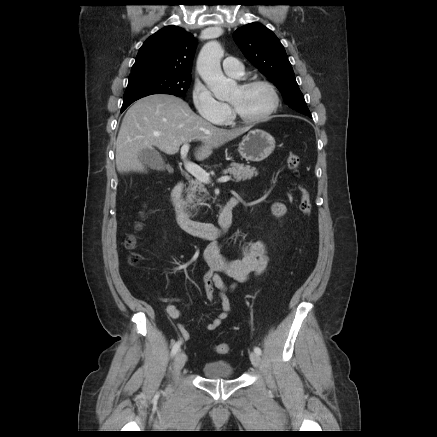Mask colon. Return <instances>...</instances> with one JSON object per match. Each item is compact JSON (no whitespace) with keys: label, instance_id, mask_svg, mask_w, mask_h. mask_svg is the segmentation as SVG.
Instances as JSON below:
<instances>
[{"label":"colon","instance_id":"5ec220e1","mask_svg":"<svg viewBox=\"0 0 437 437\" xmlns=\"http://www.w3.org/2000/svg\"><path fill=\"white\" fill-rule=\"evenodd\" d=\"M287 167L293 171L295 174H298L299 166H300V157L295 152H290L287 160ZM300 203L299 209L304 215H309L312 209V201L309 192L302 186H300ZM136 237L131 235L126 239V246L129 249H133L136 246ZM131 263L135 264L138 261L137 255L132 254L130 257ZM215 350L219 354H226L229 351V345L227 343H219L215 346Z\"/></svg>","mask_w":437,"mask_h":437}]
</instances>
